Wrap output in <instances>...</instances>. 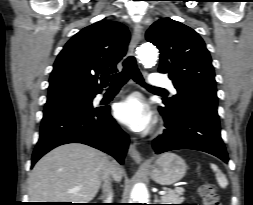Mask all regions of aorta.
<instances>
[{"mask_svg": "<svg viewBox=\"0 0 253 205\" xmlns=\"http://www.w3.org/2000/svg\"><path fill=\"white\" fill-rule=\"evenodd\" d=\"M139 58L141 63L145 67H152L156 64L158 59V50L152 43H144L140 46L139 51ZM131 203H146V197L141 194H135L132 197Z\"/></svg>", "mask_w": 253, "mask_h": 205, "instance_id": "aorta-1", "label": "aorta"}]
</instances>
